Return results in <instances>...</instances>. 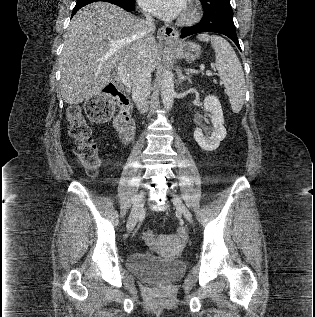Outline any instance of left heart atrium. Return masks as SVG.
<instances>
[{
	"label": "left heart atrium",
	"instance_id": "obj_1",
	"mask_svg": "<svg viewBox=\"0 0 315 317\" xmlns=\"http://www.w3.org/2000/svg\"><path fill=\"white\" fill-rule=\"evenodd\" d=\"M148 12L161 18H175L185 8V0H138Z\"/></svg>",
	"mask_w": 315,
	"mask_h": 317
}]
</instances>
